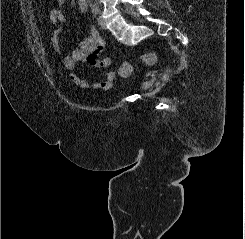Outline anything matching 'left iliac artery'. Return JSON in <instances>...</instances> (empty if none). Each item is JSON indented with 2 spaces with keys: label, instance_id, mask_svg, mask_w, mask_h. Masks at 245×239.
Instances as JSON below:
<instances>
[{
  "label": "left iliac artery",
  "instance_id": "1",
  "mask_svg": "<svg viewBox=\"0 0 245 239\" xmlns=\"http://www.w3.org/2000/svg\"><path fill=\"white\" fill-rule=\"evenodd\" d=\"M92 12L96 15L99 13V7L97 3L92 4Z\"/></svg>",
  "mask_w": 245,
  "mask_h": 239
}]
</instances>
